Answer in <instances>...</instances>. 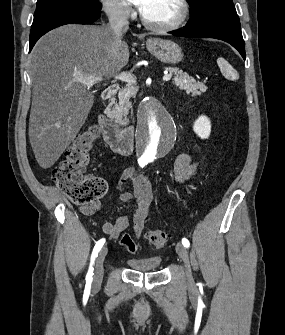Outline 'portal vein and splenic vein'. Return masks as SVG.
Returning a JSON list of instances; mask_svg holds the SVG:
<instances>
[{"label":"portal vein and splenic vein","mask_w":285,"mask_h":335,"mask_svg":"<svg viewBox=\"0 0 285 335\" xmlns=\"http://www.w3.org/2000/svg\"><path fill=\"white\" fill-rule=\"evenodd\" d=\"M172 74H168V72H164L163 80H171ZM77 82H82V84H98V82H102L103 76H79L76 78ZM114 80H121V82H128V84H135L134 76L131 74H119V76H115Z\"/></svg>","instance_id":"portal-vein-and-splenic-vein-1"}]
</instances>
